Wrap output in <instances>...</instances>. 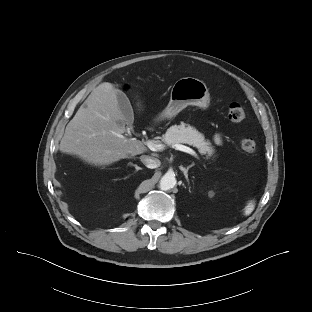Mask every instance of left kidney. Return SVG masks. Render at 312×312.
<instances>
[{"mask_svg":"<svg viewBox=\"0 0 312 312\" xmlns=\"http://www.w3.org/2000/svg\"><path fill=\"white\" fill-rule=\"evenodd\" d=\"M209 194H211V195H212V194H213V192L211 191Z\"/></svg>","mask_w":312,"mask_h":312,"instance_id":"obj_1","label":"left kidney"}]
</instances>
